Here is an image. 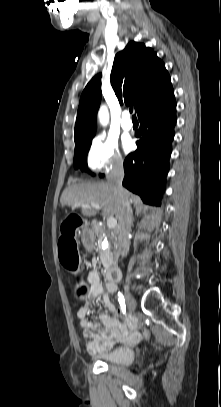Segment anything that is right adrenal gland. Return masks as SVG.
<instances>
[{
	"label": "right adrenal gland",
	"mask_w": 221,
	"mask_h": 407,
	"mask_svg": "<svg viewBox=\"0 0 221 407\" xmlns=\"http://www.w3.org/2000/svg\"><path fill=\"white\" fill-rule=\"evenodd\" d=\"M131 217L133 218V210H131Z\"/></svg>",
	"instance_id": "right-adrenal-gland-1"
}]
</instances>
